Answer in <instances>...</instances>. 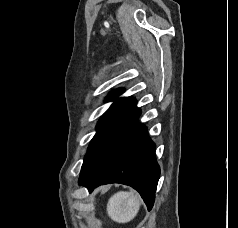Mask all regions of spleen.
Returning a JSON list of instances; mask_svg holds the SVG:
<instances>
[{
  "mask_svg": "<svg viewBox=\"0 0 238 228\" xmlns=\"http://www.w3.org/2000/svg\"><path fill=\"white\" fill-rule=\"evenodd\" d=\"M141 202V197L135 191L117 192L107 203V214L117 223H127L136 217Z\"/></svg>",
  "mask_w": 238,
  "mask_h": 228,
  "instance_id": "1",
  "label": "spleen"
}]
</instances>
